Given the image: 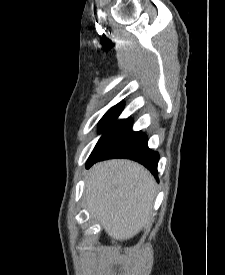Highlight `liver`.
Wrapping results in <instances>:
<instances>
[{"label": "liver", "mask_w": 225, "mask_h": 275, "mask_svg": "<svg viewBox=\"0 0 225 275\" xmlns=\"http://www.w3.org/2000/svg\"><path fill=\"white\" fill-rule=\"evenodd\" d=\"M87 208L113 239L127 240L148 222L156 181L142 165L125 159L95 164L87 173Z\"/></svg>", "instance_id": "liver-1"}]
</instances>
